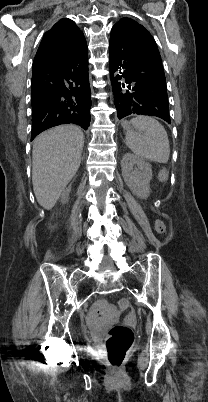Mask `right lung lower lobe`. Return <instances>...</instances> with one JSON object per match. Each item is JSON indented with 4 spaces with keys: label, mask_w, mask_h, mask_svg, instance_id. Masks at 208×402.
Returning a JSON list of instances; mask_svg holds the SVG:
<instances>
[{
    "label": "right lung lower lobe",
    "mask_w": 208,
    "mask_h": 402,
    "mask_svg": "<svg viewBox=\"0 0 208 402\" xmlns=\"http://www.w3.org/2000/svg\"><path fill=\"white\" fill-rule=\"evenodd\" d=\"M31 94V140L61 124L73 123L87 130L91 100L86 40L60 57L33 62Z\"/></svg>",
    "instance_id": "right-lung-lower-lobe-1"
}]
</instances>
